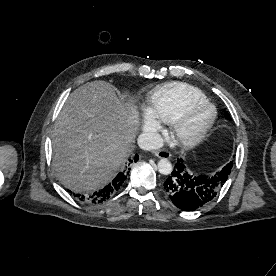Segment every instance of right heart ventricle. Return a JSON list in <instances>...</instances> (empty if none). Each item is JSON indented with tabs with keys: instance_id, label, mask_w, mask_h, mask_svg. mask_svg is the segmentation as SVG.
<instances>
[{
	"instance_id": "e07e8e85",
	"label": "right heart ventricle",
	"mask_w": 276,
	"mask_h": 276,
	"mask_svg": "<svg viewBox=\"0 0 276 276\" xmlns=\"http://www.w3.org/2000/svg\"><path fill=\"white\" fill-rule=\"evenodd\" d=\"M199 99H206L199 89L181 82L167 83L152 93L148 112L151 117L171 124L188 103Z\"/></svg>"
}]
</instances>
